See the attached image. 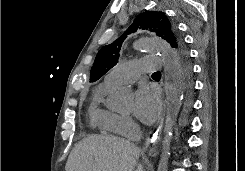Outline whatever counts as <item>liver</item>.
<instances>
[{
  "instance_id": "liver-1",
  "label": "liver",
  "mask_w": 245,
  "mask_h": 171,
  "mask_svg": "<svg viewBox=\"0 0 245 171\" xmlns=\"http://www.w3.org/2000/svg\"><path fill=\"white\" fill-rule=\"evenodd\" d=\"M140 149L113 136H89L70 153L65 171H144L137 164Z\"/></svg>"
}]
</instances>
